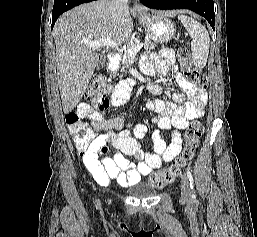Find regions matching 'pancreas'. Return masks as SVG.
<instances>
[{
  "label": "pancreas",
  "instance_id": "cf45deb5",
  "mask_svg": "<svg viewBox=\"0 0 257 237\" xmlns=\"http://www.w3.org/2000/svg\"><path fill=\"white\" fill-rule=\"evenodd\" d=\"M136 43L135 42H131L128 44L127 46V50L130 49V48H133L135 47ZM143 47L145 50H153L155 49L156 47V44L153 43L152 41H150L149 39L145 40L144 43H143ZM129 59H130V55L127 53V51L124 53L123 55V63L124 64H128L129 62Z\"/></svg>",
  "mask_w": 257,
  "mask_h": 237
}]
</instances>
